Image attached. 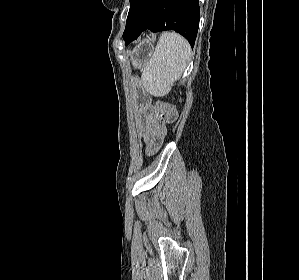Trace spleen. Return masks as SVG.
I'll return each mask as SVG.
<instances>
[{
    "mask_svg": "<svg viewBox=\"0 0 299 280\" xmlns=\"http://www.w3.org/2000/svg\"><path fill=\"white\" fill-rule=\"evenodd\" d=\"M191 57L189 43L179 34L165 32L145 65L141 81L148 93L165 96L187 66Z\"/></svg>",
    "mask_w": 299,
    "mask_h": 280,
    "instance_id": "spleen-1",
    "label": "spleen"
}]
</instances>
